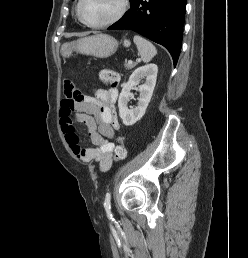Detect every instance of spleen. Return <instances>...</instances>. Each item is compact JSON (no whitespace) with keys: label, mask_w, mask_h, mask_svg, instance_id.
<instances>
[{"label":"spleen","mask_w":248,"mask_h":258,"mask_svg":"<svg viewBox=\"0 0 248 258\" xmlns=\"http://www.w3.org/2000/svg\"><path fill=\"white\" fill-rule=\"evenodd\" d=\"M133 40L143 62L147 63L151 61V59L157 54L155 46L145 38L135 35Z\"/></svg>","instance_id":"3e777b00"}]
</instances>
